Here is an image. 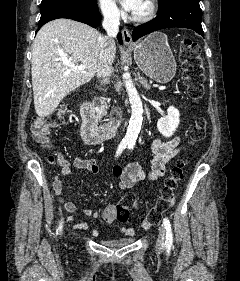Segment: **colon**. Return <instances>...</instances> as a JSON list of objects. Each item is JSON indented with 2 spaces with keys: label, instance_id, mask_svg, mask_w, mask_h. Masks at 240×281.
<instances>
[{
  "label": "colon",
  "instance_id": "colon-1",
  "mask_svg": "<svg viewBox=\"0 0 240 281\" xmlns=\"http://www.w3.org/2000/svg\"><path fill=\"white\" fill-rule=\"evenodd\" d=\"M179 60L183 72L184 85L187 95L192 102H198L204 94V64L200 54L199 45L192 39L185 38L180 44ZM66 106L62 105L48 116L37 118L32 124V135L34 140L41 146H48L50 134L53 129L61 127L65 123ZM207 123L203 117L195 120L191 129V139L200 141L205 137ZM51 161H58V157H50ZM184 162L179 161L164 181L161 195L154 207L141 219V226L149 228L159 222L161 215L167 210L174 196L178 183L183 178ZM136 200L128 196L116 204V219L126 222L130 215V208Z\"/></svg>",
  "mask_w": 240,
  "mask_h": 281
}]
</instances>
